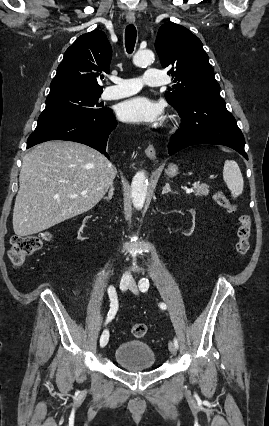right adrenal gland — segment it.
Masks as SVG:
<instances>
[{"instance_id":"1","label":"right adrenal gland","mask_w":269,"mask_h":426,"mask_svg":"<svg viewBox=\"0 0 269 426\" xmlns=\"http://www.w3.org/2000/svg\"><path fill=\"white\" fill-rule=\"evenodd\" d=\"M113 195H114V186H113V184H111L110 190L108 192V196L104 197V199L109 201L113 198Z\"/></svg>"}]
</instances>
